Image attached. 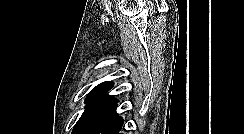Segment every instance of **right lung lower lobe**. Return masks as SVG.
<instances>
[{
    "label": "right lung lower lobe",
    "instance_id": "right-lung-lower-lobe-1",
    "mask_svg": "<svg viewBox=\"0 0 244 134\" xmlns=\"http://www.w3.org/2000/svg\"><path fill=\"white\" fill-rule=\"evenodd\" d=\"M123 123H124V120H122L120 122V124L117 126V128L111 134H120Z\"/></svg>",
    "mask_w": 244,
    "mask_h": 134
}]
</instances>
